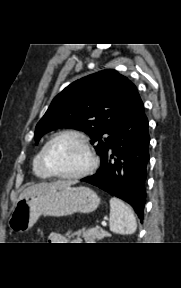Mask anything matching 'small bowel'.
<instances>
[{
	"mask_svg": "<svg viewBox=\"0 0 181 288\" xmlns=\"http://www.w3.org/2000/svg\"><path fill=\"white\" fill-rule=\"evenodd\" d=\"M64 240L65 238L59 233H52L48 238V242L52 244L61 243L64 242Z\"/></svg>",
	"mask_w": 181,
	"mask_h": 288,
	"instance_id": "obj_1",
	"label": "small bowel"
}]
</instances>
